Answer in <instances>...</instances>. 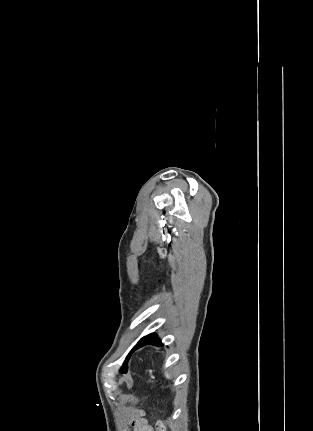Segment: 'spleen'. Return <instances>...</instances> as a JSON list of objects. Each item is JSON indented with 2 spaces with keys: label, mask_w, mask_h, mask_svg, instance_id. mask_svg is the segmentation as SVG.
Listing matches in <instances>:
<instances>
[{
  "label": "spleen",
  "mask_w": 313,
  "mask_h": 431,
  "mask_svg": "<svg viewBox=\"0 0 313 431\" xmlns=\"http://www.w3.org/2000/svg\"><path fill=\"white\" fill-rule=\"evenodd\" d=\"M165 376H166L167 378H170V374H169L168 372H166V373H165Z\"/></svg>",
  "instance_id": "obj_1"
}]
</instances>
